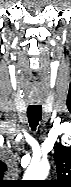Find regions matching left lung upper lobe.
Segmentation results:
<instances>
[{"mask_svg": "<svg viewBox=\"0 0 71 187\" xmlns=\"http://www.w3.org/2000/svg\"><path fill=\"white\" fill-rule=\"evenodd\" d=\"M54 159L57 167L58 180L52 183L58 187L71 186V147L57 144Z\"/></svg>", "mask_w": 71, "mask_h": 187, "instance_id": "obj_1", "label": "left lung upper lobe"}]
</instances>
